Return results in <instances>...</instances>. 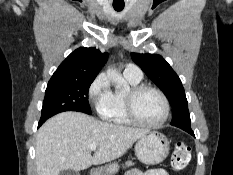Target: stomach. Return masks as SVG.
Segmentation results:
<instances>
[{
  "mask_svg": "<svg viewBox=\"0 0 233 175\" xmlns=\"http://www.w3.org/2000/svg\"><path fill=\"white\" fill-rule=\"evenodd\" d=\"M170 145L168 139L161 133L151 131L138 139L135 145L137 158L148 165L163 162L168 156ZM118 164L112 163L107 168L93 170L91 175H108L117 172Z\"/></svg>",
  "mask_w": 233,
  "mask_h": 175,
  "instance_id": "obj_1",
  "label": "stomach"
}]
</instances>
